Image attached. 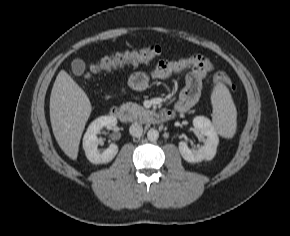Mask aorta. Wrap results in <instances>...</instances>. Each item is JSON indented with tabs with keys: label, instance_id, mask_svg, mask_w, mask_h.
<instances>
[{
	"label": "aorta",
	"instance_id": "762f6f07",
	"mask_svg": "<svg viewBox=\"0 0 290 236\" xmlns=\"http://www.w3.org/2000/svg\"><path fill=\"white\" fill-rule=\"evenodd\" d=\"M147 138L150 141H156L159 138V132L156 129H150L147 132Z\"/></svg>",
	"mask_w": 290,
	"mask_h": 236
}]
</instances>
